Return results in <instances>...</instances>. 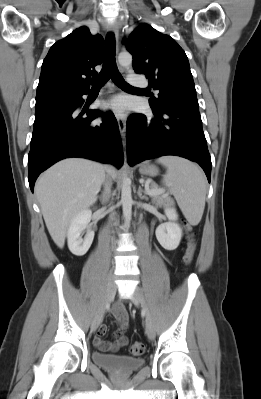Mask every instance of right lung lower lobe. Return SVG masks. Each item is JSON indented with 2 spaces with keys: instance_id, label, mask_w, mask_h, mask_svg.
I'll use <instances>...</instances> for the list:
<instances>
[{
  "instance_id": "right-lung-lower-lobe-1",
  "label": "right lung lower lobe",
  "mask_w": 261,
  "mask_h": 399,
  "mask_svg": "<svg viewBox=\"0 0 261 399\" xmlns=\"http://www.w3.org/2000/svg\"><path fill=\"white\" fill-rule=\"evenodd\" d=\"M86 93L36 107L28 155L32 192L39 174L64 158L83 157L122 166V143L114 115L108 112L101 123L94 125L92 121L102 114L99 110L87 111L86 117L74 114Z\"/></svg>"
}]
</instances>
